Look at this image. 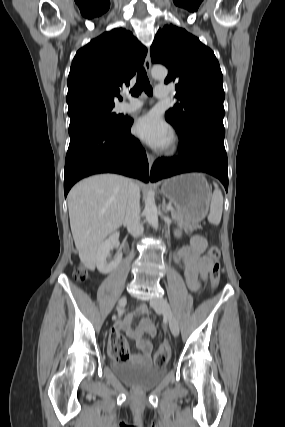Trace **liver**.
<instances>
[{
    "mask_svg": "<svg viewBox=\"0 0 285 427\" xmlns=\"http://www.w3.org/2000/svg\"><path fill=\"white\" fill-rule=\"evenodd\" d=\"M130 180L115 174L86 178L68 194L70 226L81 262L95 268L103 240L124 222Z\"/></svg>",
    "mask_w": 285,
    "mask_h": 427,
    "instance_id": "liver-1",
    "label": "liver"
}]
</instances>
